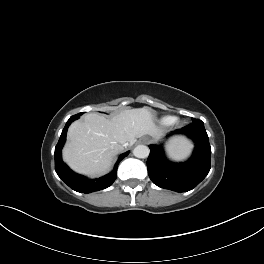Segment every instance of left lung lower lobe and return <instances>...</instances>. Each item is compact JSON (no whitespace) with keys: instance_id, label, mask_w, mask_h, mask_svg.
Wrapping results in <instances>:
<instances>
[{"instance_id":"left-lung-lower-lobe-1","label":"left lung lower lobe","mask_w":264,"mask_h":264,"mask_svg":"<svg viewBox=\"0 0 264 264\" xmlns=\"http://www.w3.org/2000/svg\"><path fill=\"white\" fill-rule=\"evenodd\" d=\"M185 134L196 143L192 157L184 163L169 162L161 146L150 145L148 175L157 186L177 192L196 187L210 171L211 147L202 121L178 129L167 137Z\"/></svg>"}]
</instances>
